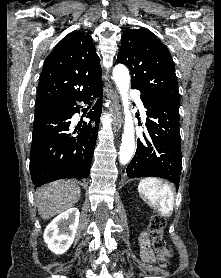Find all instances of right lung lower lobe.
Segmentation results:
<instances>
[{"mask_svg":"<svg viewBox=\"0 0 221 278\" xmlns=\"http://www.w3.org/2000/svg\"><path fill=\"white\" fill-rule=\"evenodd\" d=\"M103 96L102 82L74 95L59 96L36 105L55 107L56 111L34 120L30 153V172L35 186L63 178H87L98 134V126L83 123L71 130L70 119L80 111L78 102L99 97L87 118L98 125Z\"/></svg>","mask_w":221,"mask_h":278,"instance_id":"obj_1","label":"right lung lower lobe"}]
</instances>
